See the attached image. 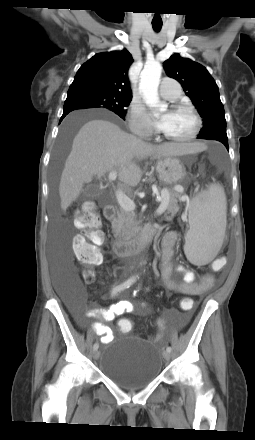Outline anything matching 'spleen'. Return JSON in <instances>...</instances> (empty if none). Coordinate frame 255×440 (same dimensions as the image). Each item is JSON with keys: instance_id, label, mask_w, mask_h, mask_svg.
Wrapping results in <instances>:
<instances>
[{"instance_id": "1", "label": "spleen", "mask_w": 255, "mask_h": 440, "mask_svg": "<svg viewBox=\"0 0 255 440\" xmlns=\"http://www.w3.org/2000/svg\"><path fill=\"white\" fill-rule=\"evenodd\" d=\"M189 224L186 257L193 264H207L221 248L226 230V196L219 185L212 184L191 201Z\"/></svg>"}]
</instances>
